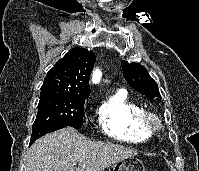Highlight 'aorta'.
Segmentation results:
<instances>
[{
    "instance_id": "aorta-1",
    "label": "aorta",
    "mask_w": 199,
    "mask_h": 171,
    "mask_svg": "<svg viewBox=\"0 0 199 171\" xmlns=\"http://www.w3.org/2000/svg\"><path fill=\"white\" fill-rule=\"evenodd\" d=\"M102 73L99 69H94L93 73H92V82L97 84L100 82Z\"/></svg>"
}]
</instances>
